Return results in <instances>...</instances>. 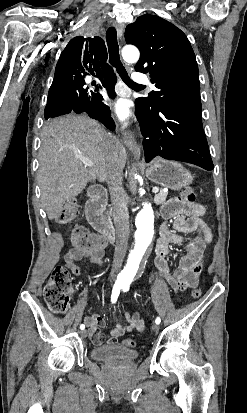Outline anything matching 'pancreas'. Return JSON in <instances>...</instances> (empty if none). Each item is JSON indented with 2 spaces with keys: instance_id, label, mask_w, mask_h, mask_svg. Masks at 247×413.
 I'll list each match as a JSON object with an SVG mask.
<instances>
[{
  "instance_id": "pancreas-1",
  "label": "pancreas",
  "mask_w": 247,
  "mask_h": 413,
  "mask_svg": "<svg viewBox=\"0 0 247 413\" xmlns=\"http://www.w3.org/2000/svg\"><path fill=\"white\" fill-rule=\"evenodd\" d=\"M167 194L168 192H163V190H160V192H157V194H155L154 202H156V204H163V202H165L166 200Z\"/></svg>"
}]
</instances>
